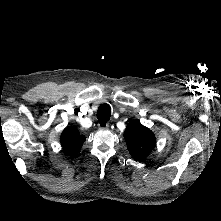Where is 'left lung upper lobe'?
<instances>
[{"instance_id":"left-lung-upper-lobe-1","label":"left lung upper lobe","mask_w":221,"mask_h":221,"mask_svg":"<svg viewBox=\"0 0 221 221\" xmlns=\"http://www.w3.org/2000/svg\"><path fill=\"white\" fill-rule=\"evenodd\" d=\"M124 138L131 156L136 160L145 158L155 147L156 140L153 132L139 122L127 125Z\"/></svg>"}]
</instances>
